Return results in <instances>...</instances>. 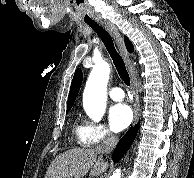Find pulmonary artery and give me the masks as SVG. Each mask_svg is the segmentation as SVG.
Returning <instances> with one entry per match:
<instances>
[{
	"label": "pulmonary artery",
	"mask_w": 194,
	"mask_h": 178,
	"mask_svg": "<svg viewBox=\"0 0 194 178\" xmlns=\"http://www.w3.org/2000/svg\"><path fill=\"white\" fill-rule=\"evenodd\" d=\"M109 97L115 101H121L124 99V91L120 87H113L108 92Z\"/></svg>",
	"instance_id": "e3ab8cb5"
}]
</instances>
